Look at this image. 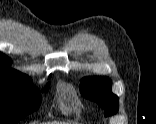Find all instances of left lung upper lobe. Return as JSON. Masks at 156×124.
I'll list each match as a JSON object with an SVG mask.
<instances>
[{
	"mask_svg": "<svg viewBox=\"0 0 156 124\" xmlns=\"http://www.w3.org/2000/svg\"><path fill=\"white\" fill-rule=\"evenodd\" d=\"M81 94L103 107L105 116L117 113L118 97L111 92V81L106 77H87L81 80Z\"/></svg>",
	"mask_w": 156,
	"mask_h": 124,
	"instance_id": "left-lung-upper-lobe-1",
	"label": "left lung upper lobe"
}]
</instances>
